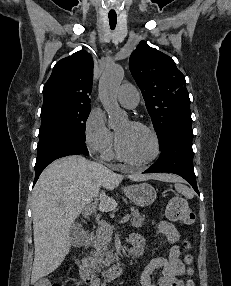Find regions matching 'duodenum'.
<instances>
[{
  "label": "duodenum",
  "instance_id": "410a0bca",
  "mask_svg": "<svg viewBox=\"0 0 231 286\" xmlns=\"http://www.w3.org/2000/svg\"><path fill=\"white\" fill-rule=\"evenodd\" d=\"M91 240V233L85 232L75 243L76 253H75V263L79 267L82 279L89 285L103 279L104 281H111L116 277L123 274L128 265L133 259L142 253L143 247L134 248L129 252L128 259L125 261H120L106 270H104L100 275L96 274L95 271L86 263L82 257V252L88 247Z\"/></svg>",
  "mask_w": 231,
  "mask_h": 286
}]
</instances>
